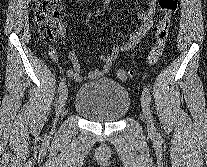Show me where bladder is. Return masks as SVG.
Wrapping results in <instances>:
<instances>
[{
    "mask_svg": "<svg viewBox=\"0 0 207 167\" xmlns=\"http://www.w3.org/2000/svg\"><path fill=\"white\" fill-rule=\"evenodd\" d=\"M131 104L127 89L110 79H99L82 85L74 100L77 112L95 122H115L122 119Z\"/></svg>",
    "mask_w": 207,
    "mask_h": 167,
    "instance_id": "31cf9c89",
    "label": "bladder"
}]
</instances>
